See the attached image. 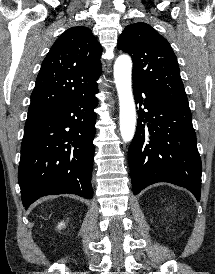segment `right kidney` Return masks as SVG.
Segmentation results:
<instances>
[{"label":"right kidney","instance_id":"right-kidney-1","mask_svg":"<svg viewBox=\"0 0 215 274\" xmlns=\"http://www.w3.org/2000/svg\"><path fill=\"white\" fill-rule=\"evenodd\" d=\"M65 226V224L63 223V222H61V223H59V225H58V229H61V228H63Z\"/></svg>","mask_w":215,"mask_h":274}]
</instances>
